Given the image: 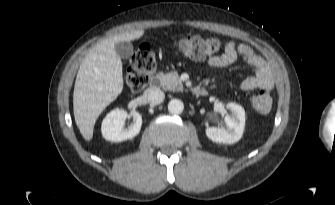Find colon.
<instances>
[{"instance_id": "5ec220e1", "label": "colon", "mask_w": 335, "mask_h": 205, "mask_svg": "<svg viewBox=\"0 0 335 205\" xmlns=\"http://www.w3.org/2000/svg\"><path fill=\"white\" fill-rule=\"evenodd\" d=\"M184 53L194 59H207L220 48V42L214 38L190 36L181 41ZM155 53L148 44L141 45L130 60V68L126 75V83L132 91L143 90L149 83L155 69ZM271 96L268 92H260L254 97L255 106L262 111L271 106Z\"/></svg>"}]
</instances>
